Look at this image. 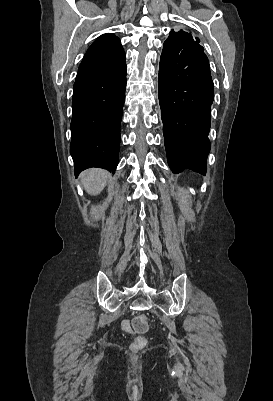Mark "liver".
Wrapping results in <instances>:
<instances>
[{
	"label": "liver",
	"instance_id": "6515ba94",
	"mask_svg": "<svg viewBox=\"0 0 273 401\" xmlns=\"http://www.w3.org/2000/svg\"><path fill=\"white\" fill-rule=\"evenodd\" d=\"M109 172L102 168H88L81 174V182L89 194H98L103 190Z\"/></svg>",
	"mask_w": 273,
	"mask_h": 401
}]
</instances>
